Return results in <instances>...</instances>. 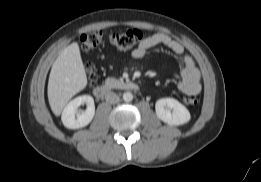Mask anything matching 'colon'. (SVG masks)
<instances>
[{
	"instance_id": "obj_1",
	"label": "colon",
	"mask_w": 261,
	"mask_h": 182,
	"mask_svg": "<svg viewBox=\"0 0 261 182\" xmlns=\"http://www.w3.org/2000/svg\"><path fill=\"white\" fill-rule=\"evenodd\" d=\"M81 49L84 52H89L105 42H108L112 46L127 50L138 46L142 41V33L139 30H127L123 32H109L106 33L101 30L90 31L82 34ZM88 81L90 85H94L97 81V75L95 67L91 63L85 65ZM197 97L194 94H186L184 96V102L187 105L197 104Z\"/></svg>"
}]
</instances>
